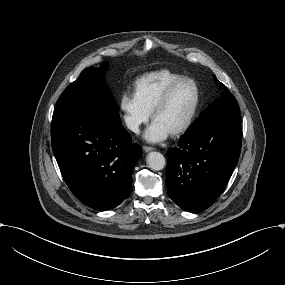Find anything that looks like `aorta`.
I'll return each mask as SVG.
<instances>
[{
	"label": "aorta",
	"instance_id": "762f6f07",
	"mask_svg": "<svg viewBox=\"0 0 285 285\" xmlns=\"http://www.w3.org/2000/svg\"><path fill=\"white\" fill-rule=\"evenodd\" d=\"M146 161L148 167L155 171L162 170L166 163L164 156L159 152H150Z\"/></svg>",
	"mask_w": 285,
	"mask_h": 285
}]
</instances>
